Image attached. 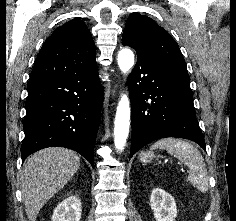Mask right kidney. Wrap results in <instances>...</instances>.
<instances>
[{"mask_svg":"<svg viewBox=\"0 0 236 221\" xmlns=\"http://www.w3.org/2000/svg\"><path fill=\"white\" fill-rule=\"evenodd\" d=\"M81 202L77 196H70L55 208L52 221H80Z\"/></svg>","mask_w":236,"mask_h":221,"instance_id":"1","label":"right kidney"}]
</instances>
